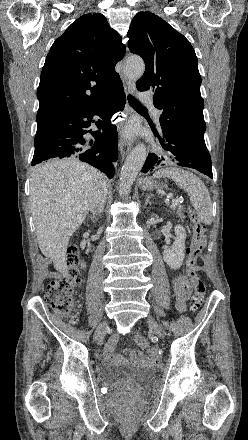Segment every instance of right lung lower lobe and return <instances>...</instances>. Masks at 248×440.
Masks as SVG:
<instances>
[{"label": "right lung lower lobe", "mask_w": 248, "mask_h": 440, "mask_svg": "<svg viewBox=\"0 0 248 440\" xmlns=\"http://www.w3.org/2000/svg\"><path fill=\"white\" fill-rule=\"evenodd\" d=\"M125 103L120 79L104 98L76 105L37 123L31 165L52 158H75L112 178V162L118 157V139L116 127L110 119L124 109ZM93 124L102 132L92 131L90 126Z\"/></svg>", "instance_id": "1"}]
</instances>
